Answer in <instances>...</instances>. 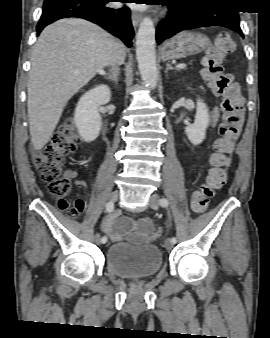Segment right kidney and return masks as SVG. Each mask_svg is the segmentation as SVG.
<instances>
[{"instance_id": "ca27d5eb", "label": "right kidney", "mask_w": 270, "mask_h": 338, "mask_svg": "<svg viewBox=\"0 0 270 338\" xmlns=\"http://www.w3.org/2000/svg\"><path fill=\"white\" fill-rule=\"evenodd\" d=\"M110 99L111 91L107 85L96 86L79 99L74 121L79 135L85 142L94 141L99 136L101 117L98 108Z\"/></svg>"}]
</instances>
